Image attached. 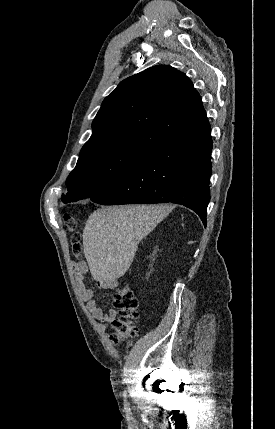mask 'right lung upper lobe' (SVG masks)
I'll use <instances>...</instances> for the list:
<instances>
[{
  "mask_svg": "<svg viewBox=\"0 0 275 429\" xmlns=\"http://www.w3.org/2000/svg\"><path fill=\"white\" fill-rule=\"evenodd\" d=\"M208 127L200 95L189 78L171 66L157 65L123 80L104 99L80 158L114 146L152 154Z\"/></svg>",
  "mask_w": 275,
  "mask_h": 429,
  "instance_id": "1",
  "label": "right lung upper lobe"
}]
</instances>
